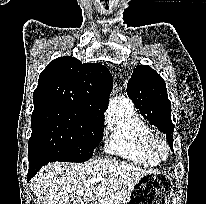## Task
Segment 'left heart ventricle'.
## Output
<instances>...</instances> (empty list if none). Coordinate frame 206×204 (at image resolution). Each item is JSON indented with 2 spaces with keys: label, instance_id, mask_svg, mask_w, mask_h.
Segmentation results:
<instances>
[{
  "label": "left heart ventricle",
  "instance_id": "obj_1",
  "mask_svg": "<svg viewBox=\"0 0 206 204\" xmlns=\"http://www.w3.org/2000/svg\"><path fill=\"white\" fill-rule=\"evenodd\" d=\"M157 150H158L159 153H162V149H161L160 146L157 148Z\"/></svg>",
  "mask_w": 206,
  "mask_h": 204
}]
</instances>
